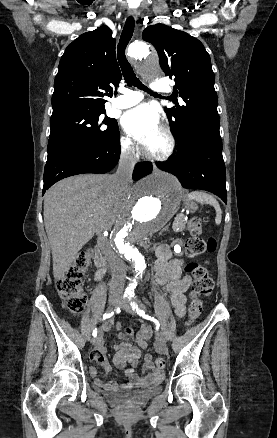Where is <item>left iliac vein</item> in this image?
<instances>
[{"instance_id":"1","label":"left iliac vein","mask_w":277,"mask_h":438,"mask_svg":"<svg viewBox=\"0 0 277 438\" xmlns=\"http://www.w3.org/2000/svg\"><path fill=\"white\" fill-rule=\"evenodd\" d=\"M139 305H140V307L142 308V309H145V306L142 304V303H139ZM122 308L125 310V311H127L128 313H135L134 311H133V309L130 307V305L127 303V301H124L123 303H122ZM159 340H160V343L162 344V345H165L166 344V337H165V334L161 331L160 333H159Z\"/></svg>"}]
</instances>
